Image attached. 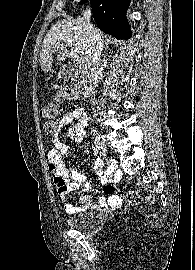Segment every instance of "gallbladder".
Segmentation results:
<instances>
[{"instance_id":"obj_1","label":"gallbladder","mask_w":195,"mask_h":270,"mask_svg":"<svg viewBox=\"0 0 195 270\" xmlns=\"http://www.w3.org/2000/svg\"><path fill=\"white\" fill-rule=\"evenodd\" d=\"M71 74V66L69 64L63 65L58 71V78L65 77Z\"/></svg>"}]
</instances>
